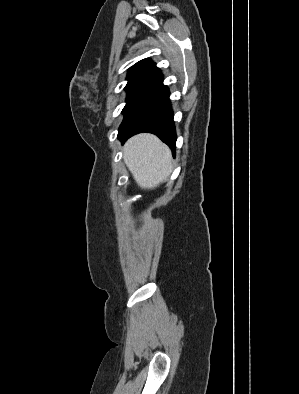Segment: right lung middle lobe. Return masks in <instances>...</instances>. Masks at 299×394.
<instances>
[{
    "label": "right lung middle lobe",
    "instance_id": "dd1d6c3e",
    "mask_svg": "<svg viewBox=\"0 0 299 394\" xmlns=\"http://www.w3.org/2000/svg\"><path fill=\"white\" fill-rule=\"evenodd\" d=\"M127 92V98H126V105L122 110L123 114H126L128 109L138 100L139 97H141L148 89L146 88H141V87H126L125 88Z\"/></svg>",
    "mask_w": 299,
    "mask_h": 394
}]
</instances>
